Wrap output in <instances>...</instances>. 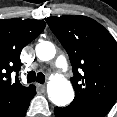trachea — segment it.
Listing matches in <instances>:
<instances>
[{"label":"trachea","mask_w":117,"mask_h":117,"mask_svg":"<svg viewBox=\"0 0 117 117\" xmlns=\"http://www.w3.org/2000/svg\"><path fill=\"white\" fill-rule=\"evenodd\" d=\"M45 79H46L45 75L42 72H39L36 74L34 71H30L27 74L28 83L37 81V82L43 84L45 82Z\"/></svg>","instance_id":"obj_1"}]
</instances>
